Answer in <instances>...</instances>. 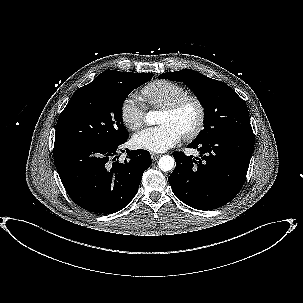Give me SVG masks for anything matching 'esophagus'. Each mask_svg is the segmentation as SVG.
Segmentation results:
<instances>
[{"instance_id": "1", "label": "esophagus", "mask_w": 303, "mask_h": 303, "mask_svg": "<svg viewBox=\"0 0 303 303\" xmlns=\"http://www.w3.org/2000/svg\"><path fill=\"white\" fill-rule=\"evenodd\" d=\"M160 156H161L160 154H156V153L151 154V157H152L153 161L157 160Z\"/></svg>"}]
</instances>
